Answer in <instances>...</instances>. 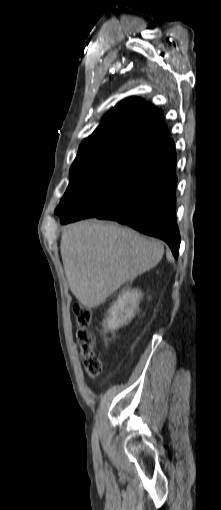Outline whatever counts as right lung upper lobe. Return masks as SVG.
<instances>
[{
  "mask_svg": "<svg viewBox=\"0 0 221 510\" xmlns=\"http://www.w3.org/2000/svg\"><path fill=\"white\" fill-rule=\"evenodd\" d=\"M162 115L160 109L141 98L125 99L81 143L76 159L125 148L154 152L172 143Z\"/></svg>",
  "mask_w": 221,
  "mask_h": 510,
  "instance_id": "right-lung-upper-lobe-1",
  "label": "right lung upper lobe"
}]
</instances>
